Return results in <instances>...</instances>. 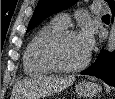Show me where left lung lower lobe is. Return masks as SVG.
Masks as SVG:
<instances>
[{"mask_svg":"<svg viewBox=\"0 0 115 99\" xmlns=\"http://www.w3.org/2000/svg\"><path fill=\"white\" fill-rule=\"evenodd\" d=\"M112 14H115V3L110 5ZM83 75L96 76L111 86H115V51L111 54L103 50L94 64L81 72Z\"/></svg>","mask_w":115,"mask_h":99,"instance_id":"left-lung-lower-lobe-1","label":"left lung lower lobe"}]
</instances>
